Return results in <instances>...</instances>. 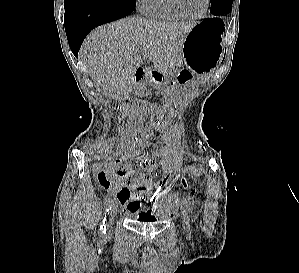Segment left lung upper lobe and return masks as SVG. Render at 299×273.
Returning a JSON list of instances; mask_svg holds the SVG:
<instances>
[{"mask_svg":"<svg viewBox=\"0 0 299 273\" xmlns=\"http://www.w3.org/2000/svg\"><path fill=\"white\" fill-rule=\"evenodd\" d=\"M233 0H211L212 8L210 12L213 15H226L232 9Z\"/></svg>","mask_w":299,"mask_h":273,"instance_id":"5c2ea615","label":"left lung upper lobe"}]
</instances>
